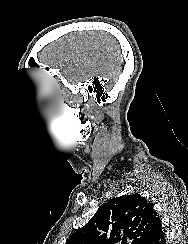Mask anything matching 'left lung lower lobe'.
<instances>
[{
	"mask_svg": "<svg viewBox=\"0 0 188 244\" xmlns=\"http://www.w3.org/2000/svg\"><path fill=\"white\" fill-rule=\"evenodd\" d=\"M146 244H166L163 228L159 217H157L150 229Z\"/></svg>",
	"mask_w": 188,
	"mask_h": 244,
	"instance_id": "1",
	"label": "left lung lower lobe"
}]
</instances>
